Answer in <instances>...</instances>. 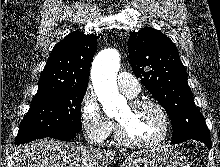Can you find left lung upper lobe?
Masks as SVG:
<instances>
[{
	"instance_id": "1",
	"label": "left lung upper lobe",
	"mask_w": 220,
	"mask_h": 167,
	"mask_svg": "<svg viewBox=\"0 0 220 167\" xmlns=\"http://www.w3.org/2000/svg\"><path fill=\"white\" fill-rule=\"evenodd\" d=\"M128 51L134 74L170 117L172 141L210 137L188 86L186 69L171 39L146 27L130 34Z\"/></svg>"
}]
</instances>
